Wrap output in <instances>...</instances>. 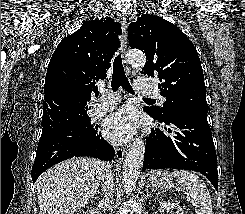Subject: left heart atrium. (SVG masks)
<instances>
[{
    "mask_svg": "<svg viewBox=\"0 0 245 214\" xmlns=\"http://www.w3.org/2000/svg\"><path fill=\"white\" fill-rule=\"evenodd\" d=\"M136 125L135 113L130 108L123 107L107 118L103 133L109 141L121 144L132 136Z\"/></svg>",
    "mask_w": 245,
    "mask_h": 214,
    "instance_id": "1",
    "label": "left heart atrium"
}]
</instances>
